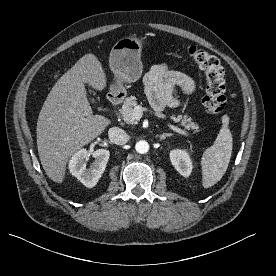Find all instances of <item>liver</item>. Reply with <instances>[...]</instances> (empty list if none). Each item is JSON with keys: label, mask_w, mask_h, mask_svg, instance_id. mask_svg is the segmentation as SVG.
<instances>
[{"label": "liver", "mask_w": 276, "mask_h": 276, "mask_svg": "<svg viewBox=\"0 0 276 276\" xmlns=\"http://www.w3.org/2000/svg\"><path fill=\"white\" fill-rule=\"evenodd\" d=\"M106 74L94 54H86L55 83L37 121V148L42 167L56 183L64 181L69 158L110 124L93 115L85 84L102 91Z\"/></svg>", "instance_id": "1"}]
</instances>
